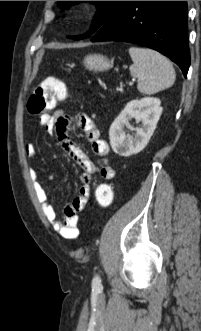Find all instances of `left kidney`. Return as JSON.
Here are the masks:
<instances>
[{
  "label": "left kidney",
  "mask_w": 201,
  "mask_h": 331,
  "mask_svg": "<svg viewBox=\"0 0 201 331\" xmlns=\"http://www.w3.org/2000/svg\"><path fill=\"white\" fill-rule=\"evenodd\" d=\"M160 105L161 101L153 97L127 103L109 129L110 144L116 154L129 157L146 147L162 114ZM132 118L142 122L141 127L133 128L129 123ZM125 127L135 130V136L126 135Z\"/></svg>",
  "instance_id": "left-kidney-1"
}]
</instances>
